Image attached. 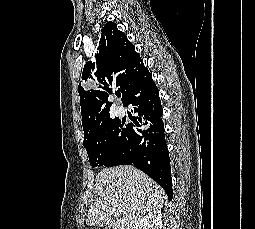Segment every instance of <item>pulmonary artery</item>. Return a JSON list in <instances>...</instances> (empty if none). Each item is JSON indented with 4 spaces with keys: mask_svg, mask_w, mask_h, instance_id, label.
<instances>
[{
    "mask_svg": "<svg viewBox=\"0 0 255 229\" xmlns=\"http://www.w3.org/2000/svg\"><path fill=\"white\" fill-rule=\"evenodd\" d=\"M117 112H118L119 114H121V113H122V109H121V108H118V109H117Z\"/></svg>",
    "mask_w": 255,
    "mask_h": 229,
    "instance_id": "e3ab8cb5",
    "label": "pulmonary artery"
}]
</instances>
